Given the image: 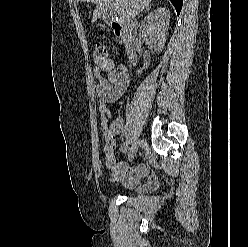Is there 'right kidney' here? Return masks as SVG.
Returning <instances> with one entry per match:
<instances>
[{
  "label": "right kidney",
  "instance_id": "ca27d5eb",
  "mask_svg": "<svg viewBox=\"0 0 248 247\" xmlns=\"http://www.w3.org/2000/svg\"><path fill=\"white\" fill-rule=\"evenodd\" d=\"M169 20V10L157 8L151 11L141 23L139 37L157 53H160L164 48Z\"/></svg>",
  "mask_w": 248,
  "mask_h": 247
}]
</instances>
